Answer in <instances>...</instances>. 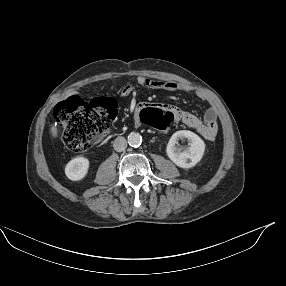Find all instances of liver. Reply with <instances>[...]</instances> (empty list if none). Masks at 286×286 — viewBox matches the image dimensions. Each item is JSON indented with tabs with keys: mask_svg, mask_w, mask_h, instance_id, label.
<instances>
[{
	"mask_svg": "<svg viewBox=\"0 0 286 286\" xmlns=\"http://www.w3.org/2000/svg\"><path fill=\"white\" fill-rule=\"evenodd\" d=\"M50 132H51V135L54 137V138H56L57 137V135H58V130H57V127L56 126H51V128H50Z\"/></svg>",
	"mask_w": 286,
	"mask_h": 286,
	"instance_id": "obj_1",
	"label": "liver"
}]
</instances>
